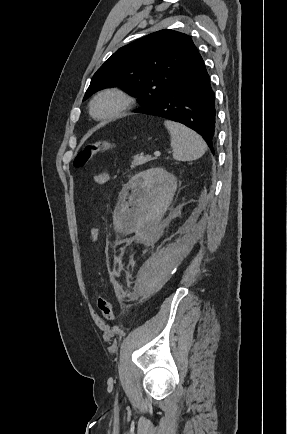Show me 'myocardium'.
I'll list each match as a JSON object with an SVG mask.
<instances>
[{"label": "myocardium", "mask_w": 287, "mask_h": 434, "mask_svg": "<svg viewBox=\"0 0 287 434\" xmlns=\"http://www.w3.org/2000/svg\"><path fill=\"white\" fill-rule=\"evenodd\" d=\"M129 94L111 87L98 91L90 100L89 112L99 121H110L122 117L132 106Z\"/></svg>", "instance_id": "f54148a6"}]
</instances>
